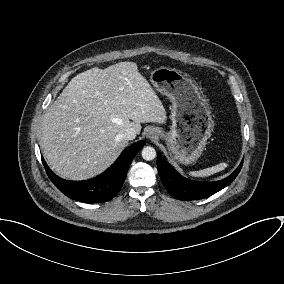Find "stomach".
Segmentation results:
<instances>
[{
	"mask_svg": "<svg viewBox=\"0 0 284 284\" xmlns=\"http://www.w3.org/2000/svg\"><path fill=\"white\" fill-rule=\"evenodd\" d=\"M150 80L172 103V126L165 135L170 156L185 165L195 162L213 127L205 95L196 81L180 70L161 67L151 73Z\"/></svg>",
	"mask_w": 284,
	"mask_h": 284,
	"instance_id": "obj_1",
	"label": "stomach"
}]
</instances>
